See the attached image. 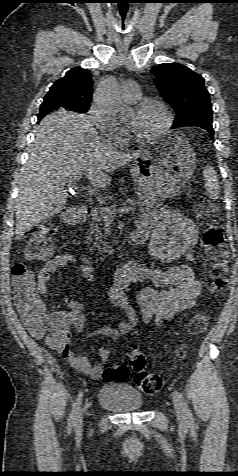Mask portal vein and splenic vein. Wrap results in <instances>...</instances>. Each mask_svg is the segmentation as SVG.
<instances>
[{"mask_svg":"<svg viewBox=\"0 0 238 476\" xmlns=\"http://www.w3.org/2000/svg\"><path fill=\"white\" fill-rule=\"evenodd\" d=\"M70 179L72 181H79L81 179V175H75L73 177H70ZM90 201L93 202V199H90ZM101 209H102V215L104 220L111 221L115 218L116 214L122 213V212H133L135 211L136 208L134 206H128V207H123L121 209H108L105 207Z\"/></svg>","mask_w":238,"mask_h":476,"instance_id":"obj_1","label":"portal vein and splenic vein"}]
</instances>
